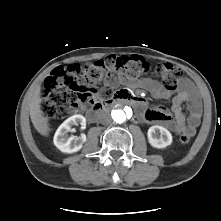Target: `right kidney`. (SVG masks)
<instances>
[{
	"instance_id": "ca27d5eb",
	"label": "right kidney",
	"mask_w": 221,
	"mask_h": 221,
	"mask_svg": "<svg viewBox=\"0 0 221 221\" xmlns=\"http://www.w3.org/2000/svg\"><path fill=\"white\" fill-rule=\"evenodd\" d=\"M78 124L82 125L83 128L86 126V119L80 114L69 117L58 127L53 142L61 152H77L86 142L85 134H81L80 137H68V132L71 130L72 126Z\"/></svg>"
}]
</instances>
